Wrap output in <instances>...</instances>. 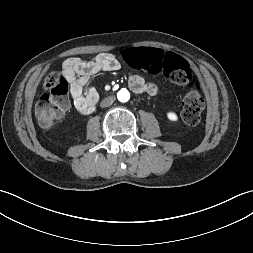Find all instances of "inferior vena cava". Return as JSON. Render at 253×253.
<instances>
[{"label": "inferior vena cava", "instance_id": "obj_1", "mask_svg": "<svg viewBox=\"0 0 253 253\" xmlns=\"http://www.w3.org/2000/svg\"><path fill=\"white\" fill-rule=\"evenodd\" d=\"M114 102V98L113 97H107L104 100L101 101L100 106L101 107H108L110 105H112V103Z\"/></svg>", "mask_w": 253, "mask_h": 253}]
</instances>
